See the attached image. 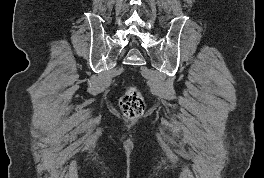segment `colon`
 <instances>
[{"label":"colon","mask_w":264,"mask_h":178,"mask_svg":"<svg viewBox=\"0 0 264 178\" xmlns=\"http://www.w3.org/2000/svg\"><path fill=\"white\" fill-rule=\"evenodd\" d=\"M120 107L129 118H136L143 114L145 102L135 88H129L120 99Z\"/></svg>","instance_id":"1"}]
</instances>
